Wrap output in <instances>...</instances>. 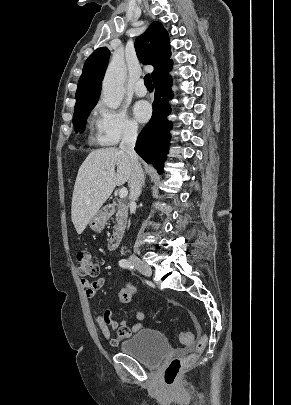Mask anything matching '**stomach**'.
<instances>
[{"label": "stomach", "mask_w": 291, "mask_h": 405, "mask_svg": "<svg viewBox=\"0 0 291 405\" xmlns=\"http://www.w3.org/2000/svg\"><path fill=\"white\" fill-rule=\"evenodd\" d=\"M109 219V212L106 209L99 210L90 220L89 226L95 232H100Z\"/></svg>", "instance_id": "1"}]
</instances>
